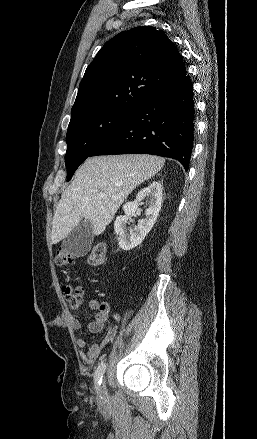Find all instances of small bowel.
<instances>
[{
	"instance_id": "small-bowel-1",
	"label": "small bowel",
	"mask_w": 257,
	"mask_h": 439,
	"mask_svg": "<svg viewBox=\"0 0 257 439\" xmlns=\"http://www.w3.org/2000/svg\"><path fill=\"white\" fill-rule=\"evenodd\" d=\"M87 308L96 311L94 320L87 325L88 331L91 333L102 332L107 325L109 315L111 312V307L109 303L104 301H99L97 299H91L87 303ZM114 318H117V316L114 315ZM69 320L74 329L81 330L82 328L81 322L76 317L70 316ZM115 333H116V329L113 328L112 330L109 331L107 337L103 341H101L100 343L92 344L87 350H85L86 348L85 340L79 338L77 340V346L82 350L81 352L82 360L87 364H93L96 361V359L99 357V355L102 353L105 346L113 340Z\"/></svg>"
}]
</instances>
